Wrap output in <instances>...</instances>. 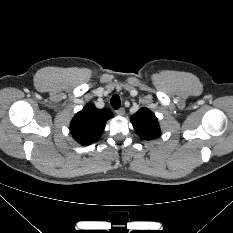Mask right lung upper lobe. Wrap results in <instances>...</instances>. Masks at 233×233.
Wrapping results in <instances>:
<instances>
[{
  "mask_svg": "<svg viewBox=\"0 0 233 233\" xmlns=\"http://www.w3.org/2000/svg\"><path fill=\"white\" fill-rule=\"evenodd\" d=\"M113 117L107 109H97L88 103L71 121L70 130L73 138L82 145L96 142L104 131L106 122Z\"/></svg>",
  "mask_w": 233,
  "mask_h": 233,
  "instance_id": "right-lung-upper-lobe-1",
  "label": "right lung upper lobe"
}]
</instances>
